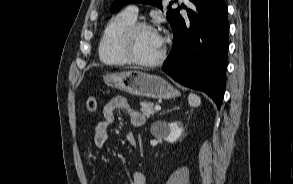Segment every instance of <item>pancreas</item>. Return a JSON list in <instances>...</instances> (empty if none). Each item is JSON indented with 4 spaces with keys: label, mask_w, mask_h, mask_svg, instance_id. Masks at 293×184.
<instances>
[{
    "label": "pancreas",
    "mask_w": 293,
    "mask_h": 184,
    "mask_svg": "<svg viewBox=\"0 0 293 184\" xmlns=\"http://www.w3.org/2000/svg\"><path fill=\"white\" fill-rule=\"evenodd\" d=\"M140 111L146 116V117H150L152 115H154L155 111H154V104L152 102H146L143 101L140 103Z\"/></svg>",
    "instance_id": "obj_1"
}]
</instances>
